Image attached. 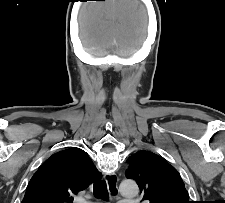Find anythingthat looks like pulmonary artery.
Wrapping results in <instances>:
<instances>
[{"label": "pulmonary artery", "mask_w": 225, "mask_h": 203, "mask_svg": "<svg viewBox=\"0 0 225 203\" xmlns=\"http://www.w3.org/2000/svg\"><path fill=\"white\" fill-rule=\"evenodd\" d=\"M120 203H136L134 200H121Z\"/></svg>", "instance_id": "e3ab8cb5"}]
</instances>
